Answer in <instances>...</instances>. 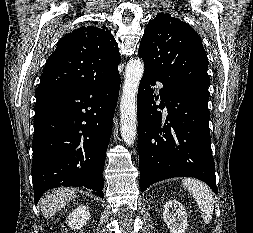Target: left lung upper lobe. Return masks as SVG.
Returning a JSON list of instances; mask_svg holds the SVG:
<instances>
[{
	"mask_svg": "<svg viewBox=\"0 0 253 233\" xmlns=\"http://www.w3.org/2000/svg\"><path fill=\"white\" fill-rule=\"evenodd\" d=\"M138 55L163 85L208 88V60L199 35L185 22L159 13L144 30Z\"/></svg>",
	"mask_w": 253,
	"mask_h": 233,
	"instance_id": "obj_1",
	"label": "left lung upper lobe"
}]
</instances>
